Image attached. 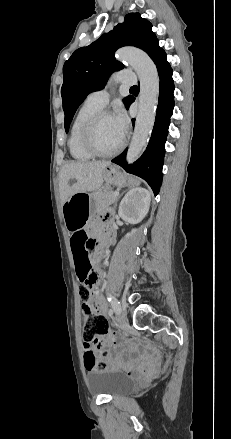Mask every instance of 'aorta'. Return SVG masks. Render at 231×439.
<instances>
[{"mask_svg": "<svg viewBox=\"0 0 231 439\" xmlns=\"http://www.w3.org/2000/svg\"><path fill=\"white\" fill-rule=\"evenodd\" d=\"M116 57L127 62L136 71L140 81L139 109L126 155L127 163L132 164L141 155L152 133L160 80L156 65L145 52L135 48H121L116 52Z\"/></svg>", "mask_w": 231, "mask_h": 439, "instance_id": "aorta-1", "label": "aorta"}]
</instances>
